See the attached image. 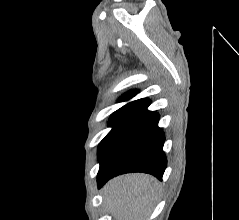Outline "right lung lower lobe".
Returning a JSON list of instances; mask_svg holds the SVG:
<instances>
[{
	"label": "right lung lower lobe",
	"mask_w": 239,
	"mask_h": 220,
	"mask_svg": "<svg viewBox=\"0 0 239 220\" xmlns=\"http://www.w3.org/2000/svg\"><path fill=\"white\" fill-rule=\"evenodd\" d=\"M148 99L134 105L105 150L98 172V185L129 172L150 173L161 179L167 165L163 152L165 136L159 116L147 110Z\"/></svg>",
	"instance_id": "98d812e1"
}]
</instances>
